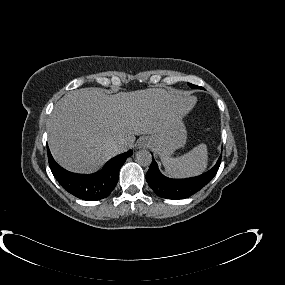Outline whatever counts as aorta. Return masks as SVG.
<instances>
[{
  "instance_id": "762f6f07",
  "label": "aorta",
  "mask_w": 285,
  "mask_h": 285,
  "mask_svg": "<svg viewBox=\"0 0 285 285\" xmlns=\"http://www.w3.org/2000/svg\"><path fill=\"white\" fill-rule=\"evenodd\" d=\"M136 162L142 166H148L152 162V155L148 150H140L136 153Z\"/></svg>"
}]
</instances>
